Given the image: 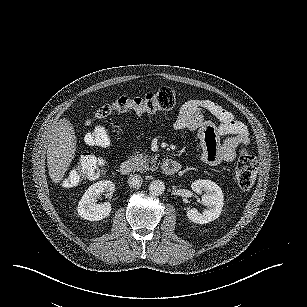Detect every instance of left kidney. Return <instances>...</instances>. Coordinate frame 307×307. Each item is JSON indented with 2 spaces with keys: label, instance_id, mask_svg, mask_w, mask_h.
Wrapping results in <instances>:
<instances>
[{
  "label": "left kidney",
  "instance_id": "left-kidney-1",
  "mask_svg": "<svg viewBox=\"0 0 307 307\" xmlns=\"http://www.w3.org/2000/svg\"><path fill=\"white\" fill-rule=\"evenodd\" d=\"M191 189L202 195L201 203L206 206L202 212L193 208L187 211V217L194 223L206 224L217 219L224 205V196L221 188L211 180H195L191 184Z\"/></svg>",
  "mask_w": 307,
  "mask_h": 307
}]
</instances>
